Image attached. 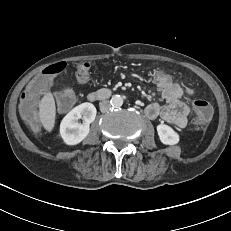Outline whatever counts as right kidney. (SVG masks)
<instances>
[{
  "label": "right kidney",
  "instance_id": "ca27d5eb",
  "mask_svg": "<svg viewBox=\"0 0 231 231\" xmlns=\"http://www.w3.org/2000/svg\"><path fill=\"white\" fill-rule=\"evenodd\" d=\"M96 108L92 103L85 102L73 108L61 121L60 135L67 145L82 142L90 131V124L95 120ZM83 119V123L78 120Z\"/></svg>",
  "mask_w": 231,
  "mask_h": 231
}]
</instances>
